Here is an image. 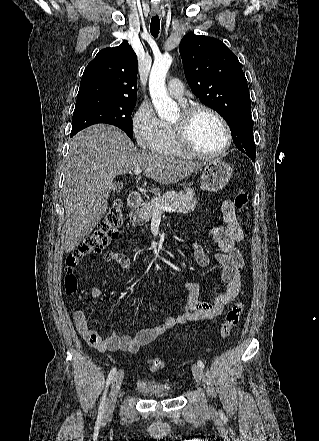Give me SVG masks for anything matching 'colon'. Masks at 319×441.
I'll use <instances>...</instances> for the list:
<instances>
[{
	"label": "colon",
	"mask_w": 319,
	"mask_h": 441,
	"mask_svg": "<svg viewBox=\"0 0 319 441\" xmlns=\"http://www.w3.org/2000/svg\"><path fill=\"white\" fill-rule=\"evenodd\" d=\"M248 203L249 193L244 189H238L234 195L235 207L244 213L247 210ZM121 220V203L120 201H115L93 232L67 256L64 286L68 295H76L79 291L78 279L74 274L75 268L86 257L100 253L103 248L116 237ZM244 310L245 305L243 302H237L230 307L220 327V336L222 339H227L234 328L238 326ZM148 367L151 372H157L163 367V361L158 357H153L148 360Z\"/></svg>",
	"instance_id": "obj_1"
}]
</instances>
